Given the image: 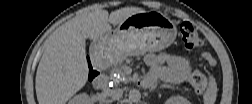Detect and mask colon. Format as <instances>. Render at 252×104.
Here are the masks:
<instances>
[{"mask_svg":"<svg viewBox=\"0 0 252 104\" xmlns=\"http://www.w3.org/2000/svg\"><path fill=\"white\" fill-rule=\"evenodd\" d=\"M180 38L185 50L189 55L193 56L198 54V49L203 45V41L196 29L190 23L185 22L181 25ZM201 58L205 63H214V59L207 54L202 55ZM98 76V70H96L94 67H90L88 80L94 81ZM189 83L198 94H203L206 91L208 85L206 76L198 70L191 72L189 76Z\"/></svg>","mask_w":252,"mask_h":104,"instance_id":"1","label":"colon"}]
</instances>
